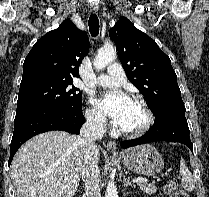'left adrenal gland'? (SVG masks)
<instances>
[{"label": "left adrenal gland", "instance_id": "obj_1", "mask_svg": "<svg viewBox=\"0 0 209 197\" xmlns=\"http://www.w3.org/2000/svg\"><path fill=\"white\" fill-rule=\"evenodd\" d=\"M123 182H124V186L126 187H134V185L132 184V182H130V178L129 177H125L124 176V179H123Z\"/></svg>", "mask_w": 209, "mask_h": 197}]
</instances>
